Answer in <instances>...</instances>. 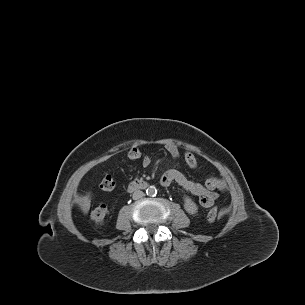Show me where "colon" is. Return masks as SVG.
I'll use <instances>...</instances> for the list:
<instances>
[{
	"mask_svg": "<svg viewBox=\"0 0 305 305\" xmlns=\"http://www.w3.org/2000/svg\"><path fill=\"white\" fill-rule=\"evenodd\" d=\"M127 157L130 160H141L143 157V151L140 144H133L127 150ZM115 181L108 175L103 178L100 183V188L104 191H110L114 188ZM107 208L105 205H99L94 208L90 213V219L95 225H102L106 219ZM219 216V210L217 207L212 208L208 213V219L210 221H215Z\"/></svg>",
	"mask_w": 305,
	"mask_h": 305,
	"instance_id": "1",
	"label": "colon"
}]
</instances>
